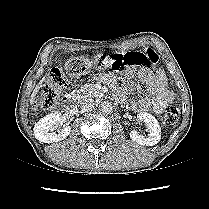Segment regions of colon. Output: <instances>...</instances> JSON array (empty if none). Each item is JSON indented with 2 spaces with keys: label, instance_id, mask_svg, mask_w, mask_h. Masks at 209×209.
Masks as SVG:
<instances>
[{
  "label": "colon",
  "instance_id": "1",
  "mask_svg": "<svg viewBox=\"0 0 209 209\" xmlns=\"http://www.w3.org/2000/svg\"><path fill=\"white\" fill-rule=\"evenodd\" d=\"M159 61V55L152 48H146L140 52H115L101 57L100 61L94 62L95 68L106 67L112 71L126 70L129 66L143 64L155 65ZM67 86V76L57 68L51 70L49 80L41 88L35 97L34 105L41 110H49L57 105L64 89ZM180 118V112L176 107L166 108L163 123L166 126L174 125Z\"/></svg>",
  "mask_w": 209,
  "mask_h": 209
}]
</instances>
